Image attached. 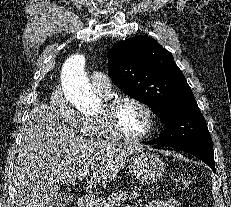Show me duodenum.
<instances>
[{
	"label": "duodenum",
	"instance_id": "obj_1",
	"mask_svg": "<svg viewBox=\"0 0 231 207\" xmlns=\"http://www.w3.org/2000/svg\"><path fill=\"white\" fill-rule=\"evenodd\" d=\"M95 196L93 194H84L79 198L78 207H92Z\"/></svg>",
	"mask_w": 231,
	"mask_h": 207
}]
</instances>
